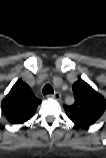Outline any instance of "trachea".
I'll return each instance as SVG.
<instances>
[{
	"mask_svg": "<svg viewBox=\"0 0 106 158\" xmlns=\"http://www.w3.org/2000/svg\"><path fill=\"white\" fill-rule=\"evenodd\" d=\"M43 95H47V94H53L54 93V90L52 88V86L50 84H46L44 87H43Z\"/></svg>",
	"mask_w": 106,
	"mask_h": 158,
	"instance_id": "obj_1",
	"label": "trachea"
}]
</instances>
